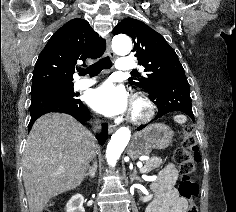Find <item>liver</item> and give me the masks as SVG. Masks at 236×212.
<instances>
[{
    "mask_svg": "<svg viewBox=\"0 0 236 212\" xmlns=\"http://www.w3.org/2000/svg\"><path fill=\"white\" fill-rule=\"evenodd\" d=\"M98 149L92 133L72 116L40 117L27 138L23 158L30 212H41L51 198L78 187Z\"/></svg>",
    "mask_w": 236,
    "mask_h": 212,
    "instance_id": "obj_1",
    "label": "liver"
}]
</instances>
